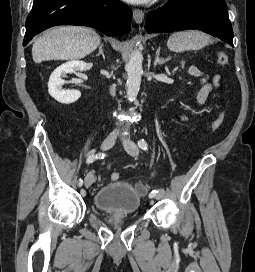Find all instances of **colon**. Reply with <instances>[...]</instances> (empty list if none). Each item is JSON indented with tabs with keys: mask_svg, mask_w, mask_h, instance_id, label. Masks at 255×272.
<instances>
[{
	"mask_svg": "<svg viewBox=\"0 0 255 272\" xmlns=\"http://www.w3.org/2000/svg\"><path fill=\"white\" fill-rule=\"evenodd\" d=\"M216 60H217V63H218V65L220 67H226L229 64V59H228V56H227V54L225 52H218L217 55H216ZM223 120H224V113L220 112L217 115L215 121L213 122L212 130L217 131L221 127V125L223 123ZM119 178H120L119 173L113 172L111 174V179L113 181H117Z\"/></svg>",
	"mask_w": 255,
	"mask_h": 272,
	"instance_id": "obj_1",
	"label": "colon"
}]
</instances>
